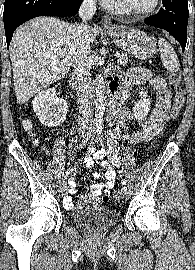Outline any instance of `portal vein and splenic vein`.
<instances>
[{
    "instance_id": "portal-vein-and-splenic-vein-1",
    "label": "portal vein and splenic vein",
    "mask_w": 195,
    "mask_h": 270,
    "mask_svg": "<svg viewBox=\"0 0 195 270\" xmlns=\"http://www.w3.org/2000/svg\"><path fill=\"white\" fill-rule=\"evenodd\" d=\"M114 56H115V57H119L120 54H119L118 52H116V53L114 54Z\"/></svg>"
}]
</instances>
